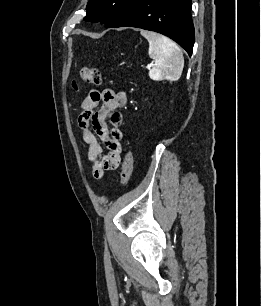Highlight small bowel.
Wrapping results in <instances>:
<instances>
[{"label": "small bowel", "mask_w": 261, "mask_h": 306, "mask_svg": "<svg viewBox=\"0 0 261 306\" xmlns=\"http://www.w3.org/2000/svg\"><path fill=\"white\" fill-rule=\"evenodd\" d=\"M126 103L125 92L106 89L92 91L81 104L78 125L88 146V160L96 179H102L106 171L115 170L121 162L123 133L119 126L123 117L120 109Z\"/></svg>", "instance_id": "small-bowel-1"}]
</instances>
